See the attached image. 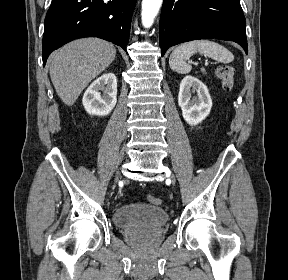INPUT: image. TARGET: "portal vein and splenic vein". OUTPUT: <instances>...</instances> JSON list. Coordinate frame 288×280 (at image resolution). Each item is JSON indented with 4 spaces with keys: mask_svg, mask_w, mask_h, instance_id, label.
I'll list each match as a JSON object with an SVG mask.
<instances>
[{
    "mask_svg": "<svg viewBox=\"0 0 288 280\" xmlns=\"http://www.w3.org/2000/svg\"><path fill=\"white\" fill-rule=\"evenodd\" d=\"M205 65H206V66L208 65V62H207V61H205Z\"/></svg>",
    "mask_w": 288,
    "mask_h": 280,
    "instance_id": "18ae733b",
    "label": "portal vein and splenic vein"
}]
</instances>
